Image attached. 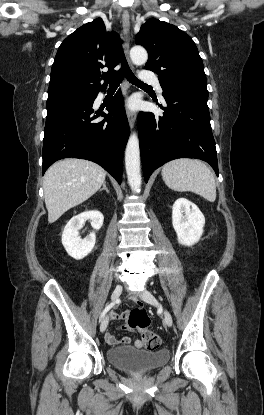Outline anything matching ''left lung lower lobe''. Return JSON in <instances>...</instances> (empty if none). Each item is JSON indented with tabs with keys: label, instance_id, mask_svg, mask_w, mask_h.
<instances>
[{
	"label": "left lung lower lobe",
	"instance_id": "1",
	"mask_svg": "<svg viewBox=\"0 0 264 415\" xmlns=\"http://www.w3.org/2000/svg\"><path fill=\"white\" fill-rule=\"evenodd\" d=\"M168 105L163 115L140 112L138 133L145 182L164 163L177 158H197L209 163L218 176V163L208 94L196 91L163 95Z\"/></svg>",
	"mask_w": 264,
	"mask_h": 415
}]
</instances>
